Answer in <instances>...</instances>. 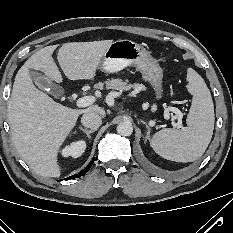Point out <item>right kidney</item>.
I'll list each match as a JSON object with an SVG mask.
<instances>
[{
	"mask_svg": "<svg viewBox=\"0 0 233 233\" xmlns=\"http://www.w3.org/2000/svg\"><path fill=\"white\" fill-rule=\"evenodd\" d=\"M86 149V142L83 140H79V141H75L73 143H71L70 145L66 146L63 150H62V155L64 157H74V158H78L80 157L84 151Z\"/></svg>",
	"mask_w": 233,
	"mask_h": 233,
	"instance_id": "obj_1",
	"label": "right kidney"
}]
</instances>
